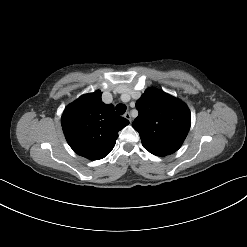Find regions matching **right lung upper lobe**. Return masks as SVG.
I'll use <instances>...</instances> for the list:
<instances>
[{"mask_svg":"<svg viewBox=\"0 0 247 247\" xmlns=\"http://www.w3.org/2000/svg\"><path fill=\"white\" fill-rule=\"evenodd\" d=\"M95 91L69 104L62 115L61 124L70 147L78 155L90 160L104 158L114 148L118 132L129 121L114 111L112 104L101 100Z\"/></svg>","mask_w":247,"mask_h":247,"instance_id":"obj_1","label":"right lung upper lobe"}]
</instances>
